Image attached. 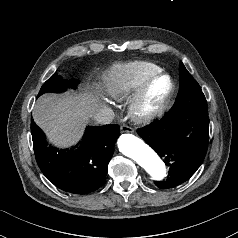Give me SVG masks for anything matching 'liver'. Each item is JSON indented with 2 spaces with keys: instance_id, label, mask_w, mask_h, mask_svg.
I'll use <instances>...</instances> for the list:
<instances>
[{
  "instance_id": "liver-1",
  "label": "liver",
  "mask_w": 238,
  "mask_h": 238,
  "mask_svg": "<svg viewBox=\"0 0 238 238\" xmlns=\"http://www.w3.org/2000/svg\"><path fill=\"white\" fill-rule=\"evenodd\" d=\"M100 110L93 94H44L39 97L32 115L49 142L59 148H70L82 138L90 118Z\"/></svg>"
}]
</instances>
